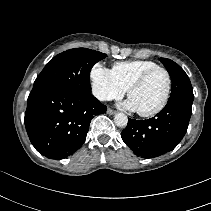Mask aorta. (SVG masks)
Wrapping results in <instances>:
<instances>
[{
	"label": "aorta",
	"instance_id": "762f6f07",
	"mask_svg": "<svg viewBox=\"0 0 211 211\" xmlns=\"http://www.w3.org/2000/svg\"><path fill=\"white\" fill-rule=\"evenodd\" d=\"M114 123L118 127H125L128 123V118L124 113H117L114 117Z\"/></svg>",
	"mask_w": 211,
	"mask_h": 211
}]
</instances>
